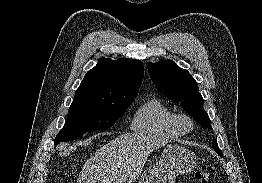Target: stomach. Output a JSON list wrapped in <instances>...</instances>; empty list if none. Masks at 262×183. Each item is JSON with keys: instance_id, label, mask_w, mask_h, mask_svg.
Masks as SVG:
<instances>
[{"instance_id": "1", "label": "stomach", "mask_w": 262, "mask_h": 183, "mask_svg": "<svg viewBox=\"0 0 262 183\" xmlns=\"http://www.w3.org/2000/svg\"><path fill=\"white\" fill-rule=\"evenodd\" d=\"M196 163L197 158L193 152L176 144H168L159 161L141 175L139 183H175L178 175L189 173Z\"/></svg>"}]
</instances>
